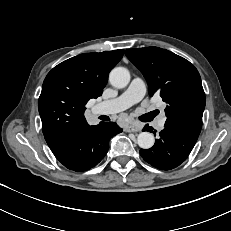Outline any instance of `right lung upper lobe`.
Returning <instances> with one entry per match:
<instances>
[{"label": "right lung upper lobe", "instance_id": "1", "mask_svg": "<svg viewBox=\"0 0 231 231\" xmlns=\"http://www.w3.org/2000/svg\"><path fill=\"white\" fill-rule=\"evenodd\" d=\"M123 52L120 49L80 54L48 73L38 109L45 140L53 153L74 133L89 126L84 117L85 105L102 94L109 72Z\"/></svg>", "mask_w": 231, "mask_h": 231}]
</instances>
